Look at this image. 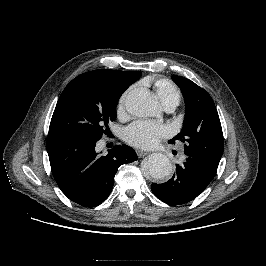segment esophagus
Returning <instances> with one entry per match:
<instances>
[{
  "label": "esophagus",
  "instance_id": "1",
  "mask_svg": "<svg viewBox=\"0 0 266 266\" xmlns=\"http://www.w3.org/2000/svg\"><path fill=\"white\" fill-rule=\"evenodd\" d=\"M136 154H137V156H138L139 158H141V157L146 156V155L148 154V152H147V151L140 150V149H137V150H136Z\"/></svg>",
  "mask_w": 266,
  "mask_h": 266
}]
</instances>
